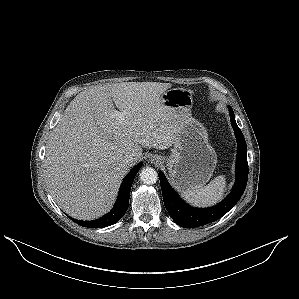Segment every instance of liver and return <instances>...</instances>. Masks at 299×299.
Instances as JSON below:
<instances>
[{
    "label": "liver",
    "instance_id": "liver-1",
    "mask_svg": "<svg viewBox=\"0 0 299 299\" xmlns=\"http://www.w3.org/2000/svg\"><path fill=\"white\" fill-rule=\"evenodd\" d=\"M170 87L116 83L86 89L70 102L49 137L44 160L46 185L64 212L81 220L102 216L140 160L142 147L164 150L174 145L179 120L161 98ZM129 153L135 159L125 165Z\"/></svg>",
    "mask_w": 299,
    "mask_h": 299
}]
</instances>
